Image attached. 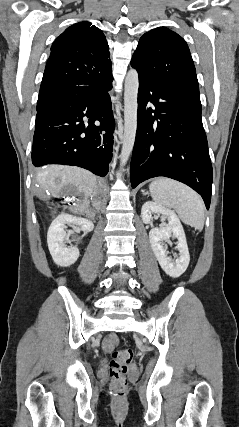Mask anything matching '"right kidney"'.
Returning a JSON list of instances; mask_svg holds the SVG:
<instances>
[{"label":"right kidney","instance_id":"1","mask_svg":"<svg viewBox=\"0 0 239 427\" xmlns=\"http://www.w3.org/2000/svg\"><path fill=\"white\" fill-rule=\"evenodd\" d=\"M66 224L79 226L82 231L90 232L94 224L85 218L62 213L51 223L47 233V243L53 261L61 267H67L75 263L79 257L76 246L67 247L64 242L69 241V233H66Z\"/></svg>","mask_w":239,"mask_h":427}]
</instances>
